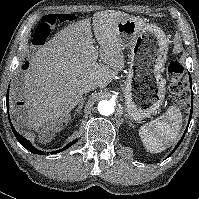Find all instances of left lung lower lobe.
<instances>
[{
	"instance_id": "1",
	"label": "left lung lower lobe",
	"mask_w": 199,
	"mask_h": 199,
	"mask_svg": "<svg viewBox=\"0 0 199 199\" xmlns=\"http://www.w3.org/2000/svg\"><path fill=\"white\" fill-rule=\"evenodd\" d=\"M189 80H190V87H191V89H192V79H191L190 74H189ZM192 95H193V92H192ZM192 107H193V96H192V106H191V110H190V117H189L188 126H189V123H190L191 117H192ZM188 126H187V128H186V131L184 132V135L182 136V138L180 139V141L177 143V145H176V147L173 149V151L167 156V158L170 157V156L174 153V151L177 149V147H178V146L180 145V143L182 142V140H183V138H184V136H185V133L187 132Z\"/></svg>"
}]
</instances>
